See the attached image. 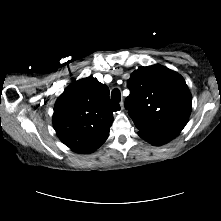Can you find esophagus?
Masks as SVG:
<instances>
[{
	"mask_svg": "<svg viewBox=\"0 0 221 221\" xmlns=\"http://www.w3.org/2000/svg\"><path fill=\"white\" fill-rule=\"evenodd\" d=\"M120 107H121L122 110L124 109V103H123V101L120 102Z\"/></svg>",
	"mask_w": 221,
	"mask_h": 221,
	"instance_id": "obj_1",
	"label": "esophagus"
}]
</instances>
